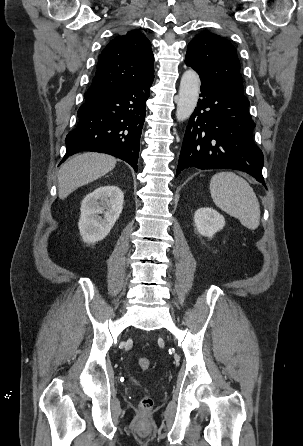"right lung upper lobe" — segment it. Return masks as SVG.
I'll use <instances>...</instances> for the list:
<instances>
[{
	"instance_id": "obj_1",
	"label": "right lung upper lobe",
	"mask_w": 303,
	"mask_h": 446,
	"mask_svg": "<svg viewBox=\"0 0 303 446\" xmlns=\"http://www.w3.org/2000/svg\"><path fill=\"white\" fill-rule=\"evenodd\" d=\"M154 56L146 36L132 30L110 41L98 57L95 77L85 100L154 77Z\"/></svg>"
}]
</instances>
